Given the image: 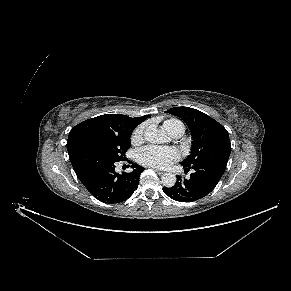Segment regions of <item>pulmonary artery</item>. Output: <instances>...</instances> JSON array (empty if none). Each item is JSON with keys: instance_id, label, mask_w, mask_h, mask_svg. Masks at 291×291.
Returning <instances> with one entry per match:
<instances>
[{"instance_id": "obj_1", "label": "pulmonary artery", "mask_w": 291, "mask_h": 291, "mask_svg": "<svg viewBox=\"0 0 291 291\" xmlns=\"http://www.w3.org/2000/svg\"><path fill=\"white\" fill-rule=\"evenodd\" d=\"M183 134H184V131L181 128H178L174 130L172 133H170V135L175 139L180 138Z\"/></svg>"}]
</instances>
